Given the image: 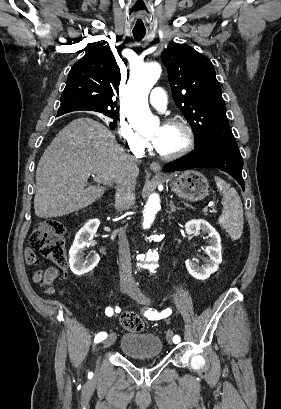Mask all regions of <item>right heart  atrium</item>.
<instances>
[{"label":"right heart atrium","mask_w":281,"mask_h":409,"mask_svg":"<svg viewBox=\"0 0 281 409\" xmlns=\"http://www.w3.org/2000/svg\"><path fill=\"white\" fill-rule=\"evenodd\" d=\"M121 119L118 130L125 145L135 152H141L145 149V140L138 135L142 124L143 115H124Z\"/></svg>","instance_id":"d8ad5b80"}]
</instances>
